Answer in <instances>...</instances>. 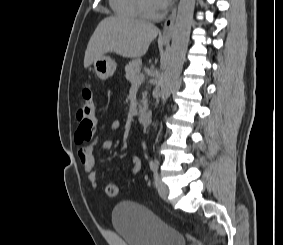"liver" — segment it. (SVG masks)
<instances>
[{
    "label": "liver",
    "mask_w": 283,
    "mask_h": 245,
    "mask_svg": "<svg viewBox=\"0 0 283 245\" xmlns=\"http://www.w3.org/2000/svg\"><path fill=\"white\" fill-rule=\"evenodd\" d=\"M159 29L152 23L124 16L107 17L95 29L87 45L84 67L88 68L106 53L125 58L146 54Z\"/></svg>",
    "instance_id": "6515ba94"
}]
</instances>
